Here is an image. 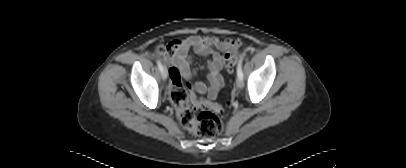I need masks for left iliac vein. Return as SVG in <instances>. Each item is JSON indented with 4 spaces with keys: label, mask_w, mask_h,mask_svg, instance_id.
<instances>
[{
    "label": "left iliac vein",
    "mask_w": 406,
    "mask_h": 168,
    "mask_svg": "<svg viewBox=\"0 0 406 168\" xmlns=\"http://www.w3.org/2000/svg\"><path fill=\"white\" fill-rule=\"evenodd\" d=\"M236 85H237V87H238L239 89H242L243 86H244L243 79H241V78L238 77L237 80H236Z\"/></svg>",
    "instance_id": "1"
}]
</instances>
